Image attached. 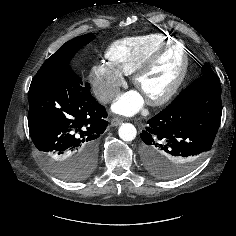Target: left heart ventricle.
<instances>
[{"mask_svg":"<svg viewBox=\"0 0 236 236\" xmlns=\"http://www.w3.org/2000/svg\"><path fill=\"white\" fill-rule=\"evenodd\" d=\"M182 61L181 47L177 46L163 55L139 82V90L145 97L165 92L176 79Z\"/></svg>","mask_w":236,"mask_h":236,"instance_id":"1","label":"left heart ventricle"}]
</instances>
